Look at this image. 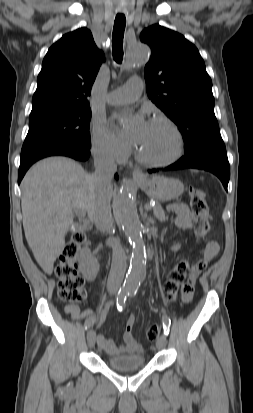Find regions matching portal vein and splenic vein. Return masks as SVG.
Here are the masks:
<instances>
[{
  "label": "portal vein and splenic vein",
  "mask_w": 253,
  "mask_h": 413,
  "mask_svg": "<svg viewBox=\"0 0 253 413\" xmlns=\"http://www.w3.org/2000/svg\"><path fill=\"white\" fill-rule=\"evenodd\" d=\"M145 208H146V209H151L152 207H151L150 205L146 204V205H145ZM76 214L79 215V216H84L85 213H84V211H82V210H77V211H76Z\"/></svg>",
  "instance_id": "obj_1"
}]
</instances>
